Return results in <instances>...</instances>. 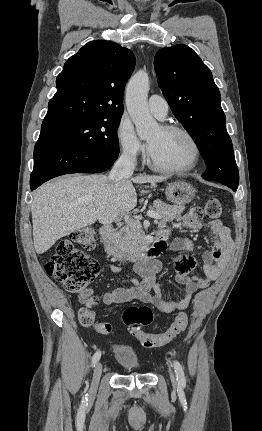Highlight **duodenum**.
<instances>
[{"mask_svg":"<svg viewBox=\"0 0 262 431\" xmlns=\"http://www.w3.org/2000/svg\"><path fill=\"white\" fill-rule=\"evenodd\" d=\"M100 236L104 244L105 252L116 256L121 263L141 261L144 259V256L137 257L119 250L117 237L115 236L114 228L111 224L107 223L101 226ZM156 247L162 249L163 246L160 242L158 243V241H156L152 245L151 248L153 249H150V253L154 252Z\"/></svg>","mask_w":262,"mask_h":431,"instance_id":"duodenum-1","label":"duodenum"}]
</instances>
